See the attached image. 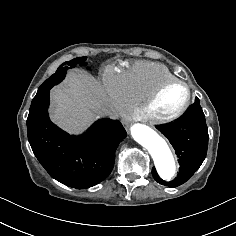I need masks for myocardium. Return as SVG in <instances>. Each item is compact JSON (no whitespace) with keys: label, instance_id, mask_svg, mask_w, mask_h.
<instances>
[{"label":"myocardium","instance_id":"obj_1","mask_svg":"<svg viewBox=\"0 0 236 236\" xmlns=\"http://www.w3.org/2000/svg\"><path fill=\"white\" fill-rule=\"evenodd\" d=\"M174 85H180L184 87L186 96L183 104L173 114L167 117H160L154 113V106L162 95V93L169 87ZM192 92L190 86L180 80L172 79L161 82L156 88H154L150 94L140 103V112L144 122L154 126H164L171 124L180 119L189 109L191 105Z\"/></svg>","mask_w":236,"mask_h":236}]
</instances>
